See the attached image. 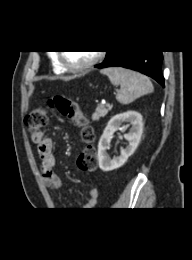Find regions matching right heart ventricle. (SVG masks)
<instances>
[{"label":"right heart ventricle","instance_id":"right-heart-ventricle-1","mask_svg":"<svg viewBox=\"0 0 192 260\" xmlns=\"http://www.w3.org/2000/svg\"><path fill=\"white\" fill-rule=\"evenodd\" d=\"M51 63H52V68L54 70V72L56 73H62L64 72V68L61 66L58 57L54 54L53 56H51Z\"/></svg>","mask_w":192,"mask_h":260}]
</instances>
